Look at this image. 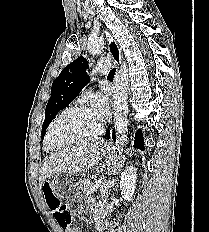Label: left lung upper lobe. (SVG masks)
Instances as JSON below:
<instances>
[{"instance_id": "obj_1", "label": "left lung upper lobe", "mask_w": 209, "mask_h": 232, "mask_svg": "<svg viewBox=\"0 0 209 232\" xmlns=\"http://www.w3.org/2000/svg\"><path fill=\"white\" fill-rule=\"evenodd\" d=\"M88 61L80 56L67 65L53 81L51 97L45 109V120L42 125V138L49 124L57 113L71 103L80 91L89 83L87 75Z\"/></svg>"}]
</instances>
